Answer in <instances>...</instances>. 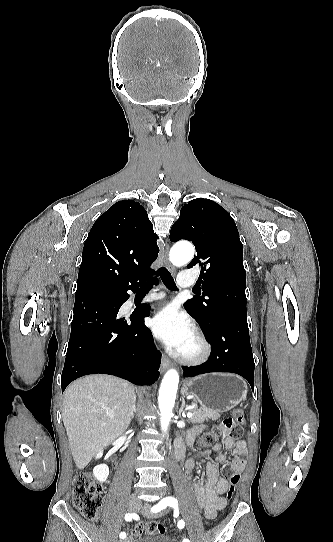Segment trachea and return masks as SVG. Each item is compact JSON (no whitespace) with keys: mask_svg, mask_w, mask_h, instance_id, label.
Returning a JSON list of instances; mask_svg holds the SVG:
<instances>
[{"mask_svg":"<svg viewBox=\"0 0 333 542\" xmlns=\"http://www.w3.org/2000/svg\"><path fill=\"white\" fill-rule=\"evenodd\" d=\"M157 276H160L161 279H162V282L164 283V285L169 289V290H176L177 289V286L173 280V277L171 276L170 272L162 267L160 268L158 271H157ZM152 283L148 282V283H145L141 288L142 289H151L152 288Z\"/></svg>","mask_w":333,"mask_h":542,"instance_id":"1","label":"trachea"}]
</instances>
